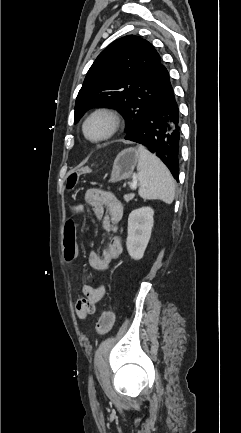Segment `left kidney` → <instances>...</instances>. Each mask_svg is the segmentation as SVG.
I'll return each mask as SVG.
<instances>
[{
  "mask_svg": "<svg viewBox=\"0 0 241 433\" xmlns=\"http://www.w3.org/2000/svg\"><path fill=\"white\" fill-rule=\"evenodd\" d=\"M153 215L154 210L151 207L135 209L129 214L126 247L134 260L143 258L151 237L154 224Z\"/></svg>",
  "mask_w": 241,
  "mask_h": 433,
  "instance_id": "1",
  "label": "left kidney"
}]
</instances>
